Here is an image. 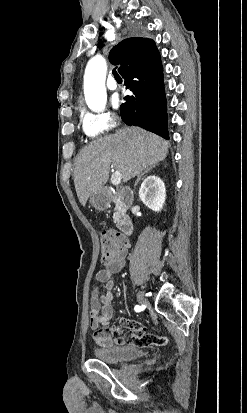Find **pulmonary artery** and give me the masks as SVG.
<instances>
[{
  "mask_svg": "<svg viewBox=\"0 0 247 413\" xmlns=\"http://www.w3.org/2000/svg\"><path fill=\"white\" fill-rule=\"evenodd\" d=\"M106 86L111 91H115L118 89V83L112 75L108 77L106 81Z\"/></svg>",
  "mask_w": 247,
  "mask_h": 413,
  "instance_id": "obj_1",
  "label": "pulmonary artery"
}]
</instances>
